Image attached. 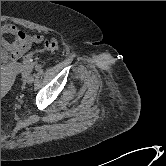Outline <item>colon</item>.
<instances>
[{
    "mask_svg": "<svg viewBox=\"0 0 166 166\" xmlns=\"http://www.w3.org/2000/svg\"><path fill=\"white\" fill-rule=\"evenodd\" d=\"M59 47V41L55 37L47 38L44 40L42 47L37 50L36 52L28 53L22 61V71L26 73L31 66V64L34 62L36 55L38 53H45V52H54Z\"/></svg>",
    "mask_w": 166,
    "mask_h": 166,
    "instance_id": "colon-1",
    "label": "colon"
}]
</instances>
